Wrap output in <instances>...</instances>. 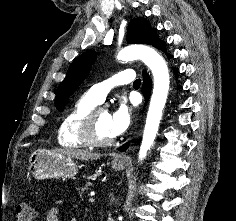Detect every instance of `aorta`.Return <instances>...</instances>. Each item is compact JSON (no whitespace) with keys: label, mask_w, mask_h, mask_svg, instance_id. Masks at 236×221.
<instances>
[{"label":"aorta","mask_w":236,"mask_h":221,"mask_svg":"<svg viewBox=\"0 0 236 221\" xmlns=\"http://www.w3.org/2000/svg\"><path fill=\"white\" fill-rule=\"evenodd\" d=\"M118 59L125 61L140 59L151 69L154 76L153 94L138 155L142 161L151 149L159 129L169 90V72L163 57L146 45H131L124 48L119 52Z\"/></svg>","instance_id":"aorta-1"}]
</instances>
